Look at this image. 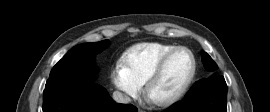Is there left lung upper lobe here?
Masks as SVG:
<instances>
[{"label": "left lung upper lobe", "mask_w": 270, "mask_h": 112, "mask_svg": "<svg viewBox=\"0 0 270 112\" xmlns=\"http://www.w3.org/2000/svg\"><path fill=\"white\" fill-rule=\"evenodd\" d=\"M202 62L205 66V68L208 70V71H211V72H215L217 69H218V66L217 64L212 60V58L205 52L202 53ZM215 77V76H214ZM213 78V77H211ZM209 78V79H211ZM209 79H202L200 81H198L194 86L193 88L191 89V91H194L196 90L199 86H201L203 83H205L206 81H208Z\"/></svg>", "instance_id": "5c2ea615"}]
</instances>
